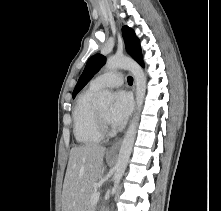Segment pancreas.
I'll return each mask as SVG.
<instances>
[{"label":"pancreas","instance_id":"1","mask_svg":"<svg viewBox=\"0 0 221 211\" xmlns=\"http://www.w3.org/2000/svg\"><path fill=\"white\" fill-rule=\"evenodd\" d=\"M96 193V190H91L87 195L85 202H84V210L83 211H94L95 204H92L91 198L93 194Z\"/></svg>","mask_w":221,"mask_h":211}]
</instances>
